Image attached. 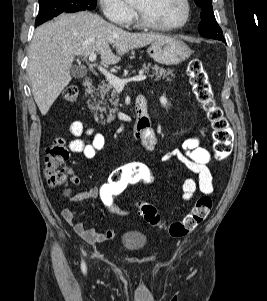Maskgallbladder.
<instances>
[{
  "label": "gallbladder",
  "instance_id": "obj_1",
  "mask_svg": "<svg viewBox=\"0 0 267 301\" xmlns=\"http://www.w3.org/2000/svg\"><path fill=\"white\" fill-rule=\"evenodd\" d=\"M70 73L75 79H80L86 76L87 71L80 66L74 65L70 67Z\"/></svg>",
  "mask_w": 267,
  "mask_h": 301
}]
</instances>
